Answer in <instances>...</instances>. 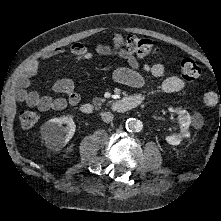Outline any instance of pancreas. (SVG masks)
<instances>
[{"instance_id": "pancreas-1", "label": "pancreas", "mask_w": 221, "mask_h": 221, "mask_svg": "<svg viewBox=\"0 0 221 221\" xmlns=\"http://www.w3.org/2000/svg\"><path fill=\"white\" fill-rule=\"evenodd\" d=\"M103 102H105V99H103V98H97L96 97V98L93 99V104L95 106H98V107H100Z\"/></svg>"}]
</instances>
